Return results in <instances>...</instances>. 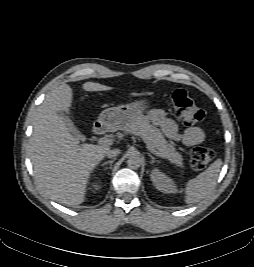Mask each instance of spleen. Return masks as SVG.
Here are the masks:
<instances>
[{
    "mask_svg": "<svg viewBox=\"0 0 254 267\" xmlns=\"http://www.w3.org/2000/svg\"><path fill=\"white\" fill-rule=\"evenodd\" d=\"M221 166V159H217L204 172L187 182L185 188L187 204L202 200L214 189Z\"/></svg>",
    "mask_w": 254,
    "mask_h": 267,
    "instance_id": "1",
    "label": "spleen"
}]
</instances>
